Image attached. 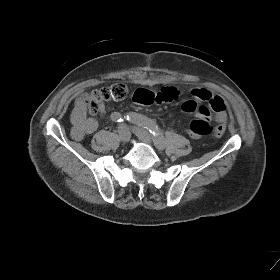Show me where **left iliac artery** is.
Returning <instances> with one entry per match:
<instances>
[{
  "label": "left iliac artery",
  "mask_w": 280,
  "mask_h": 280,
  "mask_svg": "<svg viewBox=\"0 0 280 280\" xmlns=\"http://www.w3.org/2000/svg\"><path fill=\"white\" fill-rule=\"evenodd\" d=\"M125 117L129 122L136 123L146 128L154 136V140L157 145H164V136L158 125L153 120L133 112L128 113Z\"/></svg>",
  "instance_id": "left-iliac-artery-1"
}]
</instances>
